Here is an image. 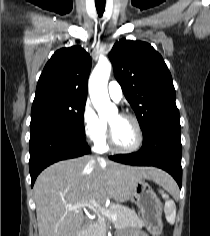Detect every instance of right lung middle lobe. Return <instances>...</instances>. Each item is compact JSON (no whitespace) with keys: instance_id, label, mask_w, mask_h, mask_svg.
Wrapping results in <instances>:
<instances>
[{"instance_id":"dd1d6c3e","label":"right lung middle lobe","mask_w":210,"mask_h":236,"mask_svg":"<svg viewBox=\"0 0 210 236\" xmlns=\"http://www.w3.org/2000/svg\"><path fill=\"white\" fill-rule=\"evenodd\" d=\"M86 99L49 97L33 102L30 131L60 128L85 135L83 114Z\"/></svg>"}]
</instances>
